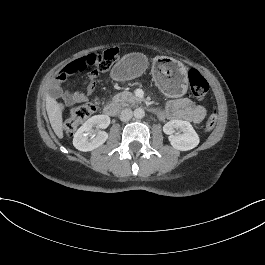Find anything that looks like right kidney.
Here are the masks:
<instances>
[{
  "label": "right kidney",
  "instance_id": "1",
  "mask_svg": "<svg viewBox=\"0 0 265 265\" xmlns=\"http://www.w3.org/2000/svg\"><path fill=\"white\" fill-rule=\"evenodd\" d=\"M109 124L110 117L108 115L92 116L74 134V147L84 152L98 148L108 138V134L100 129H106Z\"/></svg>",
  "mask_w": 265,
  "mask_h": 265
}]
</instances>
